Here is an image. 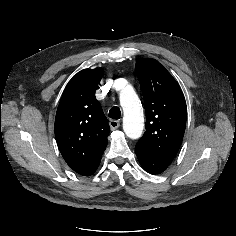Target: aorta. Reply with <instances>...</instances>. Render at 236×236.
<instances>
[{"instance_id": "1", "label": "aorta", "mask_w": 236, "mask_h": 236, "mask_svg": "<svg viewBox=\"0 0 236 236\" xmlns=\"http://www.w3.org/2000/svg\"><path fill=\"white\" fill-rule=\"evenodd\" d=\"M123 109V130L131 139H137L144 129V115L141 102L131 86H126L120 94Z\"/></svg>"}]
</instances>
